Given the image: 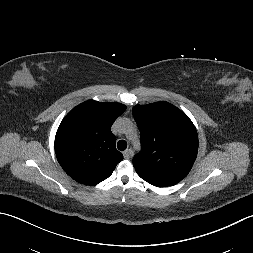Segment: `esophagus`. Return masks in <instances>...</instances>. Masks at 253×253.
<instances>
[{"label": "esophagus", "mask_w": 253, "mask_h": 253, "mask_svg": "<svg viewBox=\"0 0 253 253\" xmlns=\"http://www.w3.org/2000/svg\"><path fill=\"white\" fill-rule=\"evenodd\" d=\"M131 154H132V150L130 149H127L126 151L123 152V156L127 160L130 158Z\"/></svg>", "instance_id": "1"}]
</instances>
